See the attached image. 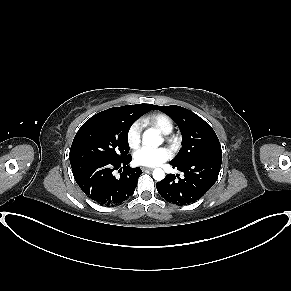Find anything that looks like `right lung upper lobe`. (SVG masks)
I'll return each instance as SVG.
<instances>
[{"instance_id": "obj_1", "label": "right lung upper lobe", "mask_w": 291, "mask_h": 291, "mask_svg": "<svg viewBox=\"0 0 291 291\" xmlns=\"http://www.w3.org/2000/svg\"><path fill=\"white\" fill-rule=\"evenodd\" d=\"M127 106L133 112V114L141 110H146V112H148L156 107V105H152V104H136V105H127Z\"/></svg>"}]
</instances>
